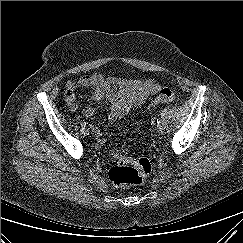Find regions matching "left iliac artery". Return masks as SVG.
<instances>
[{"label": "left iliac artery", "mask_w": 243, "mask_h": 243, "mask_svg": "<svg viewBox=\"0 0 243 243\" xmlns=\"http://www.w3.org/2000/svg\"><path fill=\"white\" fill-rule=\"evenodd\" d=\"M160 123H161V121L157 119V124H160Z\"/></svg>", "instance_id": "left-iliac-artery-1"}]
</instances>
